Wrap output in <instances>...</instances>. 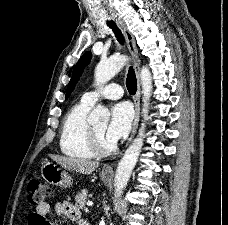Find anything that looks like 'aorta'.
<instances>
[{
  "instance_id": "obj_1",
  "label": "aorta",
  "mask_w": 228,
  "mask_h": 225,
  "mask_svg": "<svg viewBox=\"0 0 228 225\" xmlns=\"http://www.w3.org/2000/svg\"><path fill=\"white\" fill-rule=\"evenodd\" d=\"M127 60H129V58H127L125 54H118V52L111 54L107 60H100L94 72L96 86L106 84V82H108L112 76H115V74L119 72L120 68L126 64ZM140 78L144 100L142 117L145 121L148 115V100L151 96L152 90L151 72L147 66H142ZM109 119L110 113L108 108L101 106V104H97V106L93 108L92 113L88 115L87 121L90 123V125H95V123H99V121L108 123ZM143 123L137 135V139H134L133 143H131L130 147H128L127 151H125L120 163H118L114 179L115 197H120V195L124 193L127 183L132 175V171L137 163V159L141 153L143 141L145 139V125H143Z\"/></svg>"
}]
</instances>
